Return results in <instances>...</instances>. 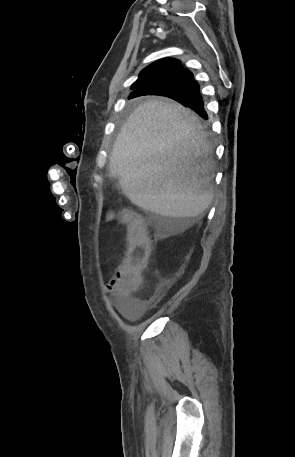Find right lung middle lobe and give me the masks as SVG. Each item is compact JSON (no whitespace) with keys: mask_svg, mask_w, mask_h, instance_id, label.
Wrapping results in <instances>:
<instances>
[{"mask_svg":"<svg viewBox=\"0 0 295 457\" xmlns=\"http://www.w3.org/2000/svg\"><path fill=\"white\" fill-rule=\"evenodd\" d=\"M155 94L170 97V96L174 95V90L173 89L157 90V91H155Z\"/></svg>","mask_w":295,"mask_h":457,"instance_id":"right-lung-middle-lobe-1","label":"right lung middle lobe"}]
</instances>
